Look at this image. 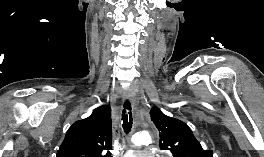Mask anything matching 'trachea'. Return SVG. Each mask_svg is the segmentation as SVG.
<instances>
[{"label":"trachea","mask_w":264,"mask_h":157,"mask_svg":"<svg viewBox=\"0 0 264 157\" xmlns=\"http://www.w3.org/2000/svg\"><path fill=\"white\" fill-rule=\"evenodd\" d=\"M122 120H123V129L126 134H128L131 131L132 128V112H131V104L129 101H126L124 103V109L122 112Z\"/></svg>","instance_id":"trachea-1"}]
</instances>
